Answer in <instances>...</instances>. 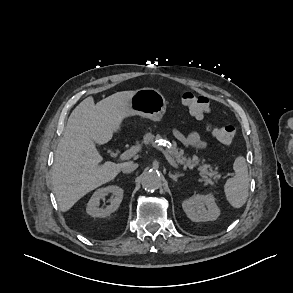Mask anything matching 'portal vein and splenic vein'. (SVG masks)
I'll list each match as a JSON object with an SVG mask.
<instances>
[{"instance_id": "1", "label": "portal vein and splenic vein", "mask_w": 293, "mask_h": 293, "mask_svg": "<svg viewBox=\"0 0 293 293\" xmlns=\"http://www.w3.org/2000/svg\"><path fill=\"white\" fill-rule=\"evenodd\" d=\"M157 148H158V150H160L163 153V155L165 156V158L167 159V161L169 162V164L171 166H173L176 169H180L178 164L173 160V158L165 150H163L160 147H157ZM140 150H141L140 147L134 146V147L126 150L124 153H122L120 155V159L121 160H128V159L132 158L135 154H137Z\"/></svg>"}]
</instances>
